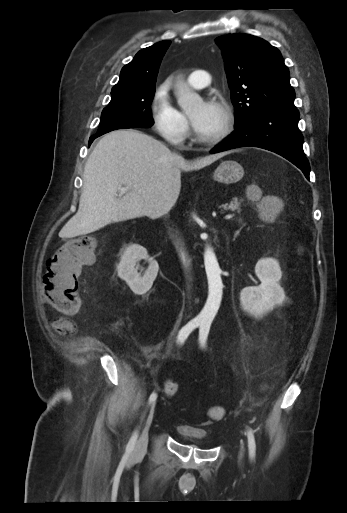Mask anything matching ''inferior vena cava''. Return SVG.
Masks as SVG:
<instances>
[{
    "instance_id": "inferior-vena-cava-1",
    "label": "inferior vena cava",
    "mask_w": 347,
    "mask_h": 513,
    "mask_svg": "<svg viewBox=\"0 0 347 513\" xmlns=\"http://www.w3.org/2000/svg\"><path fill=\"white\" fill-rule=\"evenodd\" d=\"M174 203H175L174 200L165 199L161 203V210H162L163 214H167L170 211V209L172 208V206L174 205ZM176 248L179 252V257L181 258L185 267L189 266V260L187 259V254L185 253V251L182 247L179 248V242H177Z\"/></svg>"
}]
</instances>
